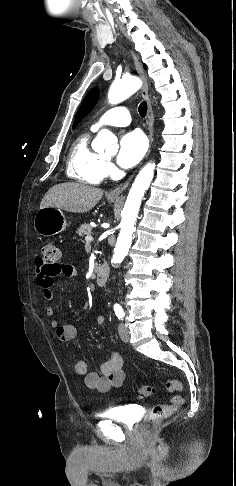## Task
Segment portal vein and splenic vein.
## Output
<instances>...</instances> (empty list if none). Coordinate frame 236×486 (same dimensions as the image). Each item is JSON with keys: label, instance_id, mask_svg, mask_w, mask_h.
I'll use <instances>...</instances> for the list:
<instances>
[{"label": "portal vein and splenic vein", "instance_id": "1", "mask_svg": "<svg viewBox=\"0 0 236 486\" xmlns=\"http://www.w3.org/2000/svg\"><path fill=\"white\" fill-rule=\"evenodd\" d=\"M85 241H86L87 243H90V242H92V241H93V237H92L91 235H87V236L85 237Z\"/></svg>", "mask_w": 236, "mask_h": 486}]
</instances>
